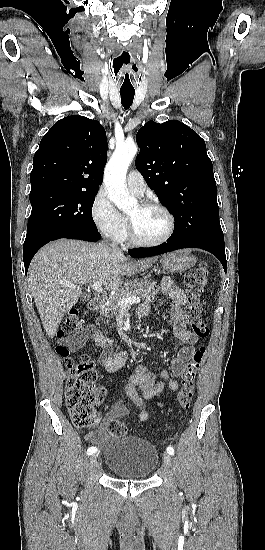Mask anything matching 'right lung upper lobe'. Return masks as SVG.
I'll use <instances>...</instances> for the list:
<instances>
[{"instance_id": "obj_1", "label": "right lung upper lobe", "mask_w": 265, "mask_h": 550, "mask_svg": "<svg viewBox=\"0 0 265 550\" xmlns=\"http://www.w3.org/2000/svg\"><path fill=\"white\" fill-rule=\"evenodd\" d=\"M106 161L104 127L84 116L65 117L44 135L34 155L31 191L97 193Z\"/></svg>"}]
</instances>
